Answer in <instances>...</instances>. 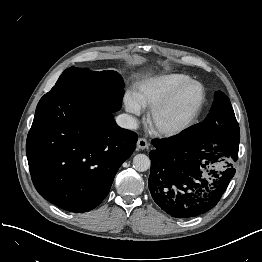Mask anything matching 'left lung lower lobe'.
<instances>
[{
  "label": "left lung lower lobe",
  "mask_w": 262,
  "mask_h": 262,
  "mask_svg": "<svg viewBox=\"0 0 262 262\" xmlns=\"http://www.w3.org/2000/svg\"><path fill=\"white\" fill-rule=\"evenodd\" d=\"M240 132L155 139L150 152L149 190L156 204L175 218L206 213L221 199L235 174Z\"/></svg>",
  "instance_id": "0a47b994"
}]
</instances>
